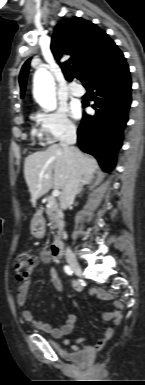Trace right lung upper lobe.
<instances>
[{"label":"right lung upper lobe","instance_id":"cb5924a9","mask_svg":"<svg viewBox=\"0 0 145 385\" xmlns=\"http://www.w3.org/2000/svg\"><path fill=\"white\" fill-rule=\"evenodd\" d=\"M51 50L55 58L62 61L60 66L65 78L70 81L80 76L86 87L126 63L123 53L104 30L79 17L59 22L52 36ZM29 62L27 60L22 66L19 76L21 97L25 91Z\"/></svg>","mask_w":145,"mask_h":385}]
</instances>
